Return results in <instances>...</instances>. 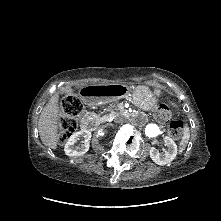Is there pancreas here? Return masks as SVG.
<instances>
[{
    "mask_svg": "<svg viewBox=\"0 0 221 221\" xmlns=\"http://www.w3.org/2000/svg\"><path fill=\"white\" fill-rule=\"evenodd\" d=\"M107 111L109 112L108 114L103 115L102 113H99L98 115H95L97 122L107 121V120L115 117L116 115L122 114L124 112V110H120L119 112H115L114 108L108 109Z\"/></svg>",
    "mask_w": 221,
    "mask_h": 221,
    "instance_id": "1",
    "label": "pancreas"
}]
</instances>
